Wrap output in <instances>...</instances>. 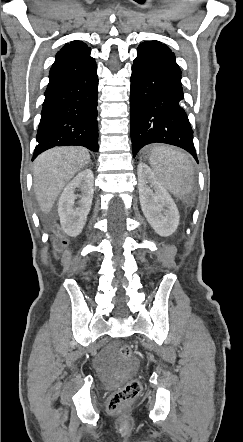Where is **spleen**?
I'll return each instance as SVG.
<instances>
[{"label": "spleen", "instance_id": "3e777b00", "mask_svg": "<svg viewBox=\"0 0 243 442\" xmlns=\"http://www.w3.org/2000/svg\"><path fill=\"white\" fill-rule=\"evenodd\" d=\"M150 165L160 184L172 193L187 192L185 183L192 175V162L181 151L169 147H156L150 153Z\"/></svg>", "mask_w": 243, "mask_h": 442}]
</instances>
